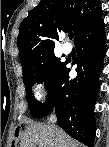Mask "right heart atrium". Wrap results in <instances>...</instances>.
<instances>
[{
    "label": "right heart atrium",
    "instance_id": "d8ad5b80",
    "mask_svg": "<svg viewBox=\"0 0 109 147\" xmlns=\"http://www.w3.org/2000/svg\"><path fill=\"white\" fill-rule=\"evenodd\" d=\"M43 89L40 84H37L34 88V94L37 98H41L43 96Z\"/></svg>",
    "mask_w": 109,
    "mask_h": 147
}]
</instances>
